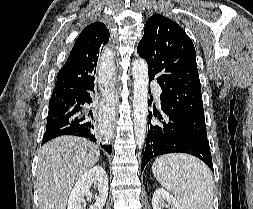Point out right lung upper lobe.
Returning a JSON list of instances; mask_svg holds the SVG:
<instances>
[{
    "label": "right lung upper lobe",
    "instance_id": "obj_1",
    "mask_svg": "<svg viewBox=\"0 0 253 209\" xmlns=\"http://www.w3.org/2000/svg\"><path fill=\"white\" fill-rule=\"evenodd\" d=\"M109 41V30L101 22L86 26L57 74L52 100H70L94 87L99 54Z\"/></svg>",
    "mask_w": 253,
    "mask_h": 209
}]
</instances>
